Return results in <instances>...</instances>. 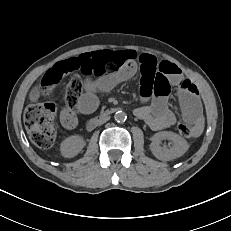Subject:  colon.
I'll list each match as a JSON object with an SVG mask.
<instances>
[{"instance_id": "5ec220e1", "label": "colon", "mask_w": 231, "mask_h": 231, "mask_svg": "<svg viewBox=\"0 0 231 231\" xmlns=\"http://www.w3.org/2000/svg\"><path fill=\"white\" fill-rule=\"evenodd\" d=\"M52 83L42 81L31 91L30 103L24 112V124L31 141L40 148L50 147L56 136V112L57 107L52 102L40 101V97H47L51 93ZM158 93L167 95L169 86L161 79L157 80ZM178 89L188 94H197V89L188 79L182 78L178 82ZM180 135L190 138L195 135L193 126L185 122L177 124Z\"/></svg>"}]
</instances>
